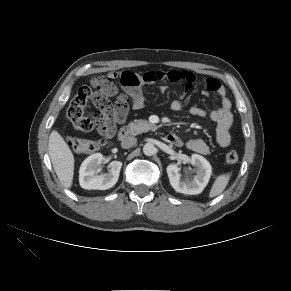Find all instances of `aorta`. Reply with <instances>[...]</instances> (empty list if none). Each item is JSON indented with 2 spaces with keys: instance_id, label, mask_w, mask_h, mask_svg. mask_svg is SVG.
<instances>
[{
  "instance_id": "1",
  "label": "aorta",
  "mask_w": 291,
  "mask_h": 291,
  "mask_svg": "<svg viewBox=\"0 0 291 291\" xmlns=\"http://www.w3.org/2000/svg\"><path fill=\"white\" fill-rule=\"evenodd\" d=\"M155 151H156V148L152 143H146L143 146V153L146 156H152L155 153Z\"/></svg>"
}]
</instances>
